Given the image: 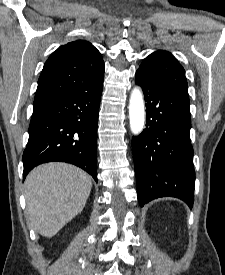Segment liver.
Here are the masks:
<instances>
[{
	"instance_id": "liver-1",
	"label": "liver",
	"mask_w": 225,
	"mask_h": 275,
	"mask_svg": "<svg viewBox=\"0 0 225 275\" xmlns=\"http://www.w3.org/2000/svg\"><path fill=\"white\" fill-rule=\"evenodd\" d=\"M24 188L31 227L51 238L83 210L92 179L71 164L48 163L28 174Z\"/></svg>"
}]
</instances>
